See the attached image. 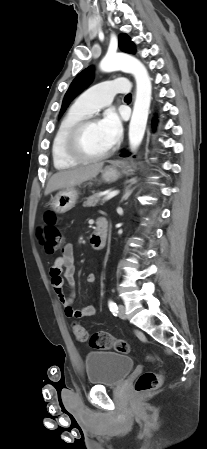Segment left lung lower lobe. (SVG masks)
I'll return each instance as SVG.
<instances>
[{"label":"left lung lower lobe","mask_w":207,"mask_h":449,"mask_svg":"<svg viewBox=\"0 0 207 449\" xmlns=\"http://www.w3.org/2000/svg\"><path fill=\"white\" fill-rule=\"evenodd\" d=\"M129 155H130V153L127 152V151H124V152L121 154L122 157H127V156H129Z\"/></svg>","instance_id":"obj_1"}]
</instances>
